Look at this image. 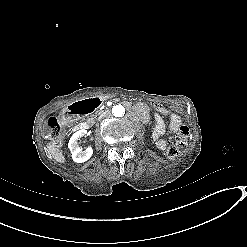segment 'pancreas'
Listing matches in <instances>:
<instances>
[{
	"mask_svg": "<svg viewBox=\"0 0 247 247\" xmlns=\"http://www.w3.org/2000/svg\"><path fill=\"white\" fill-rule=\"evenodd\" d=\"M94 118H95V116L93 115V116H91V117L88 119V121H92V120H94Z\"/></svg>",
	"mask_w": 247,
	"mask_h": 247,
	"instance_id": "1",
	"label": "pancreas"
}]
</instances>
